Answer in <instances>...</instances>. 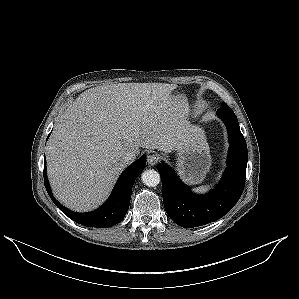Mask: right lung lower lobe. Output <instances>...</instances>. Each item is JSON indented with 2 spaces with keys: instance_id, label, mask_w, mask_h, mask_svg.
I'll return each mask as SVG.
<instances>
[{
  "instance_id": "98d812e1",
  "label": "right lung lower lobe",
  "mask_w": 299,
  "mask_h": 299,
  "mask_svg": "<svg viewBox=\"0 0 299 299\" xmlns=\"http://www.w3.org/2000/svg\"><path fill=\"white\" fill-rule=\"evenodd\" d=\"M146 164V156L130 165L119 177L108 200L97 210L90 213H76L62 206L52 195L47 179L46 160L44 159V184L54 204L73 221L92 228H106L119 223L129 208L131 191L135 179Z\"/></svg>"
}]
</instances>
